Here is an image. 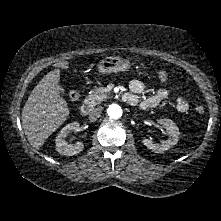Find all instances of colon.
Wrapping results in <instances>:
<instances>
[{
  "mask_svg": "<svg viewBox=\"0 0 221 221\" xmlns=\"http://www.w3.org/2000/svg\"><path fill=\"white\" fill-rule=\"evenodd\" d=\"M160 72L161 71L158 72L159 79L162 80V81H167L169 79L168 73L164 71L165 72V76L164 77H160V75H159ZM69 97H70L71 100L76 101L79 98V93L77 91L73 90V91H71L69 93ZM195 110H196V112L198 114H202L204 112V108L202 106H197L195 108Z\"/></svg>",
  "mask_w": 221,
  "mask_h": 221,
  "instance_id": "5ec220e1",
  "label": "colon"
}]
</instances>
